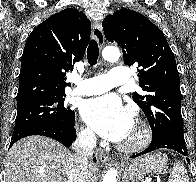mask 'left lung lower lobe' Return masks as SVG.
<instances>
[{
    "instance_id": "obj_1",
    "label": "left lung lower lobe",
    "mask_w": 196,
    "mask_h": 182,
    "mask_svg": "<svg viewBox=\"0 0 196 182\" xmlns=\"http://www.w3.org/2000/svg\"><path fill=\"white\" fill-rule=\"evenodd\" d=\"M160 148L171 149L184 156L188 155V150L185 145L184 136L176 135L173 133H163L156 137H152V141L149 147L136 155H132L131 158L146 154L148 152H151V151H154ZM186 160L188 161V163H190L188 158H186Z\"/></svg>"
}]
</instances>
